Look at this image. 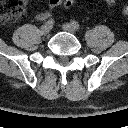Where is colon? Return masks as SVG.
Returning <instances> with one entry per match:
<instances>
[{"mask_svg":"<svg viewBox=\"0 0 128 128\" xmlns=\"http://www.w3.org/2000/svg\"><path fill=\"white\" fill-rule=\"evenodd\" d=\"M108 6H113L116 0H103ZM76 0H65V6L70 8ZM26 0H0V22H12L25 12ZM123 13L128 16V3L123 7Z\"/></svg>","mask_w":128,"mask_h":128,"instance_id":"colon-1","label":"colon"}]
</instances>
